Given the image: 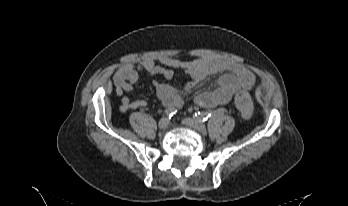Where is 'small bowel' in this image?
<instances>
[{
    "label": "small bowel",
    "instance_id": "c3829d8e",
    "mask_svg": "<svg viewBox=\"0 0 348 206\" xmlns=\"http://www.w3.org/2000/svg\"><path fill=\"white\" fill-rule=\"evenodd\" d=\"M174 69H182L188 73L190 80L185 84V90H192L208 76L220 73L217 88L200 92L195 98L196 103L204 108L227 104L238 88L250 89L256 81L254 74L245 66L221 58L202 57L194 60H179L162 57L160 64H156L151 59H141L136 63L126 62L115 71L113 76L116 94L121 97V111L139 109L147 105L145 100L133 101L124 95L137 82L140 72L170 80L174 75ZM153 86L163 106L175 109L183 105V94L179 89L159 81H154Z\"/></svg>",
    "mask_w": 348,
    "mask_h": 206
}]
</instances>
